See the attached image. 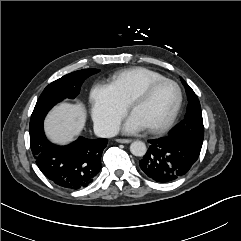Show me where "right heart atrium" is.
<instances>
[{"label": "right heart atrium", "instance_id": "right-heart-atrium-1", "mask_svg": "<svg viewBox=\"0 0 241 241\" xmlns=\"http://www.w3.org/2000/svg\"><path fill=\"white\" fill-rule=\"evenodd\" d=\"M92 117L103 135L113 134L127 112V105L109 84H96L91 91Z\"/></svg>", "mask_w": 241, "mask_h": 241}]
</instances>
